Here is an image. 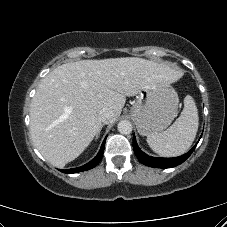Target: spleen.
I'll return each instance as SVG.
<instances>
[{
  "mask_svg": "<svg viewBox=\"0 0 227 227\" xmlns=\"http://www.w3.org/2000/svg\"><path fill=\"white\" fill-rule=\"evenodd\" d=\"M199 125L196 104L190 95L184 99V108L179 118L164 132L148 136L150 148L163 157L184 154L192 145Z\"/></svg>",
  "mask_w": 227,
  "mask_h": 227,
  "instance_id": "obj_1",
  "label": "spleen"
}]
</instances>
